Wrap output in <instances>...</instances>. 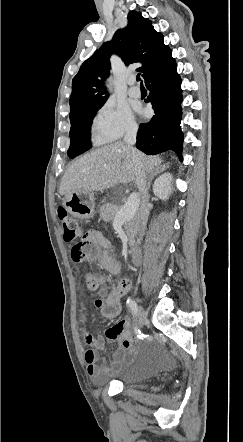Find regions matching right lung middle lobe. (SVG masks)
Masks as SVG:
<instances>
[{"mask_svg": "<svg viewBox=\"0 0 243 442\" xmlns=\"http://www.w3.org/2000/svg\"><path fill=\"white\" fill-rule=\"evenodd\" d=\"M100 107L84 112L74 119H71L70 129V147L68 156L75 158L76 156L87 151L91 147L90 130L93 118Z\"/></svg>", "mask_w": 243, "mask_h": 442, "instance_id": "dd1d6c3e", "label": "right lung middle lobe"}]
</instances>
